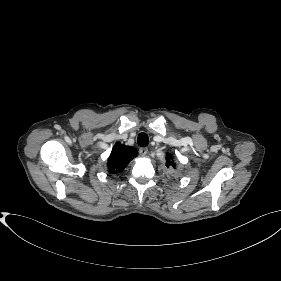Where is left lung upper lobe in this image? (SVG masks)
<instances>
[{"instance_id":"1","label":"left lung upper lobe","mask_w":281,"mask_h":281,"mask_svg":"<svg viewBox=\"0 0 281 281\" xmlns=\"http://www.w3.org/2000/svg\"><path fill=\"white\" fill-rule=\"evenodd\" d=\"M171 163H172V162L167 158L166 166L169 167V165H171ZM173 167H174V166H173Z\"/></svg>"}]
</instances>
